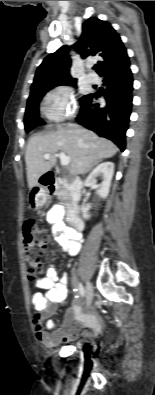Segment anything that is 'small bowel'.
<instances>
[{
	"instance_id": "1",
	"label": "small bowel",
	"mask_w": 155,
	"mask_h": 395,
	"mask_svg": "<svg viewBox=\"0 0 155 395\" xmlns=\"http://www.w3.org/2000/svg\"><path fill=\"white\" fill-rule=\"evenodd\" d=\"M62 216L63 209L56 205L47 211L46 220L52 225L56 242L64 251L76 256L81 249L82 236L77 231L67 228L62 221ZM67 283V275L63 274L59 278L52 267L43 278L33 279L31 284L35 293L32 297L34 306L32 328L35 337L48 348L74 340L82 328L90 329V331L82 332L84 338H90L100 330V322L96 315L84 313L77 304H73L65 314L63 328L53 333L49 332L55 324L47 318L55 311V305H62L66 301L69 294ZM74 320L75 324L69 326Z\"/></svg>"
}]
</instances>
